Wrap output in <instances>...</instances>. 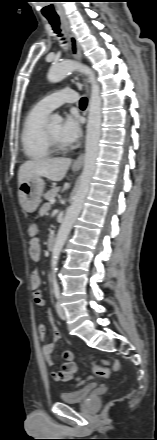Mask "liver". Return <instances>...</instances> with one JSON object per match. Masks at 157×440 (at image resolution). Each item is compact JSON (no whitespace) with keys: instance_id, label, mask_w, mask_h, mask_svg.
<instances>
[{"instance_id":"6515ba94","label":"liver","mask_w":157,"mask_h":440,"mask_svg":"<svg viewBox=\"0 0 157 440\" xmlns=\"http://www.w3.org/2000/svg\"><path fill=\"white\" fill-rule=\"evenodd\" d=\"M69 158H41L33 159L22 164L18 171V184L33 177H45L51 181H61L70 165Z\"/></svg>"}]
</instances>
